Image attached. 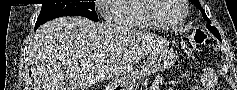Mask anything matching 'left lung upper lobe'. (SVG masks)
Returning a JSON list of instances; mask_svg holds the SVG:
<instances>
[{
  "label": "left lung upper lobe",
  "mask_w": 237,
  "mask_h": 90,
  "mask_svg": "<svg viewBox=\"0 0 237 90\" xmlns=\"http://www.w3.org/2000/svg\"><path fill=\"white\" fill-rule=\"evenodd\" d=\"M190 2H191L192 4H194L198 9H200V10L202 11L203 18H204L205 21H207L206 27L208 28V30H209L215 37H217V38L221 41L220 34H219L218 30H217L215 27H213V26L210 25L211 21H210V20L208 19V17L206 16L204 10L202 9V7H201V5H200L199 0H190Z\"/></svg>",
  "instance_id": "1"
}]
</instances>
